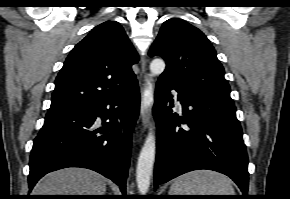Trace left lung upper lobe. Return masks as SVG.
Instances as JSON below:
<instances>
[{
	"instance_id": "1",
	"label": "left lung upper lobe",
	"mask_w": 290,
	"mask_h": 199,
	"mask_svg": "<svg viewBox=\"0 0 290 199\" xmlns=\"http://www.w3.org/2000/svg\"><path fill=\"white\" fill-rule=\"evenodd\" d=\"M149 56H161L166 69L161 77L213 98L232 102L224 68L207 37L196 27L172 18L164 22Z\"/></svg>"
}]
</instances>
